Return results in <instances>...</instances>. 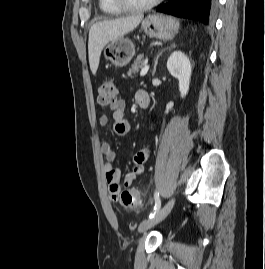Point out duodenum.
Instances as JSON below:
<instances>
[{
    "label": "duodenum",
    "mask_w": 265,
    "mask_h": 269,
    "mask_svg": "<svg viewBox=\"0 0 265 269\" xmlns=\"http://www.w3.org/2000/svg\"><path fill=\"white\" fill-rule=\"evenodd\" d=\"M141 106L142 107H147V102L146 101H141Z\"/></svg>",
    "instance_id": "duodenum-1"
}]
</instances>
